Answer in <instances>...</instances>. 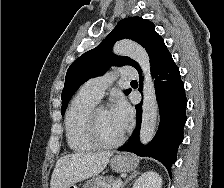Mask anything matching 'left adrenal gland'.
<instances>
[{"label": "left adrenal gland", "mask_w": 224, "mask_h": 188, "mask_svg": "<svg viewBox=\"0 0 224 188\" xmlns=\"http://www.w3.org/2000/svg\"><path fill=\"white\" fill-rule=\"evenodd\" d=\"M139 174L138 171H133L130 176L125 180V182L122 184L121 188H124L125 185L130 181L132 180L134 177H136L137 175Z\"/></svg>", "instance_id": "a2214340"}]
</instances>
